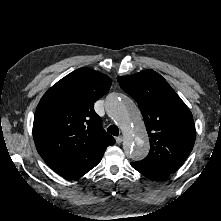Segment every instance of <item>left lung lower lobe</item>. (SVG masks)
I'll return each mask as SVG.
<instances>
[{
  "mask_svg": "<svg viewBox=\"0 0 221 221\" xmlns=\"http://www.w3.org/2000/svg\"><path fill=\"white\" fill-rule=\"evenodd\" d=\"M131 166L138 170L141 174H143L145 177L151 179V180H155V179H163L166 178L167 176H169V173L166 172H162V171H155V170H146V169H142L140 168L136 163H131Z\"/></svg>",
  "mask_w": 221,
  "mask_h": 221,
  "instance_id": "1",
  "label": "left lung lower lobe"
}]
</instances>
